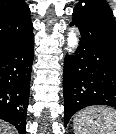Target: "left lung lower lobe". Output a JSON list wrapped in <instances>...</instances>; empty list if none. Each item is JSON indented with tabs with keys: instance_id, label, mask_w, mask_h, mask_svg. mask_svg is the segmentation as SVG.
Here are the masks:
<instances>
[{
	"instance_id": "obj_1",
	"label": "left lung lower lobe",
	"mask_w": 116,
	"mask_h": 134,
	"mask_svg": "<svg viewBox=\"0 0 116 134\" xmlns=\"http://www.w3.org/2000/svg\"><path fill=\"white\" fill-rule=\"evenodd\" d=\"M80 31L78 49L64 62L65 127L82 108L106 105L116 108V22L112 15L94 9L73 11Z\"/></svg>"
}]
</instances>
